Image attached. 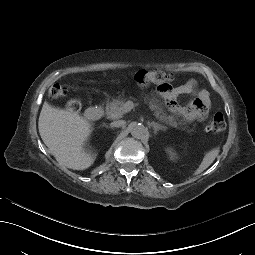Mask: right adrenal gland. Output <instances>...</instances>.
Masks as SVG:
<instances>
[{
	"instance_id": "obj_1",
	"label": "right adrenal gland",
	"mask_w": 255,
	"mask_h": 255,
	"mask_svg": "<svg viewBox=\"0 0 255 255\" xmlns=\"http://www.w3.org/2000/svg\"><path fill=\"white\" fill-rule=\"evenodd\" d=\"M102 126H103V127H106L107 129H113L111 126H109V125H107V124H105V123H103Z\"/></svg>"
}]
</instances>
